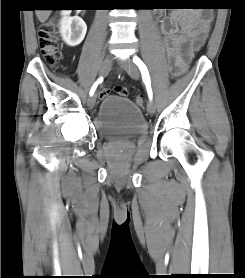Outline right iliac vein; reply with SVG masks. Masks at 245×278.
Here are the masks:
<instances>
[{
	"label": "right iliac vein",
	"instance_id": "right-iliac-vein-1",
	"mask_svg": "<svg viewBox=\"0 0 245 278\" xmlns=\"http://www.w3.org/2000/svg\"><path fill=\"white\" fill-rule=\"evenodd\" d=\"M113 58L111 56H107L105 60L103 61L100 69H99V76H105L108 72L110 66L112 65ZM96 103V99L94 96L89 97L88 99V106L89 108H94Z\"/></svg>",
	"mask_w": 245,
	"mask_h": 278
}]
</instances>
